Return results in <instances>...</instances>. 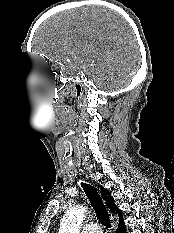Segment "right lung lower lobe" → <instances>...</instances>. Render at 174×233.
I'll use <instances>...</instances> for the list:
<instances>
[{"label": "right lung lower lobe", "mask_w": 174, "mask_h": 233, "mask_svg": "<svg viewBox=\"0 0 174 233\" xmlns=\"http://www.w3.org/2000/svg\"><path fill=\"white\" fill-rule=\"evenodd\" d=\"M123 229H125V225L118 227L116 233H123Z\"/></svg>", "instance_id": "right-lung-lower-lobe-1"}]
</instances>
